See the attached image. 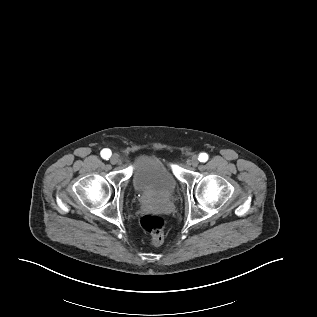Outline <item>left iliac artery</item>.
Here are the masks:
<instances>
[{"instance_id": "left-iliac-artery-1", "label": "left iliac artery", "mask_w": 317, "mask_h": 317, "mask_svg": "<svg viewBox=\"0 0 317 317\" xmlns=\"http://www.w3.org/2000/svg\"><path fill=\"white\" fill-rule=\"evenodd\" d=\"M198 160L200 162H206L208 160V154L206 153H200L199 157H198Z\"/></svg>"}]
</instances>
